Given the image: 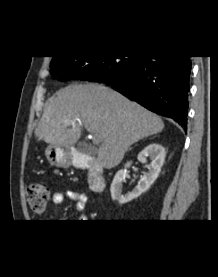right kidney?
Instances as JSON below:
<instances>
[{
  "mask_svg": "<svg viewBox=\"0 0 218 277\" xmlns=\"http://www.w3.org/2000/svg\"><path fill=\"white\" fill-rule=\"evenodd\" d=\"M165 154L164 147L156 143H152L144 148L138 154L137 159L141 163H146L147 158H150L152 162L147 166L148 173L140 179L138 185L131 192L122 195V184L125 181L126 168H129L132 163L131 161L127 162L124 166L125 169L119 170L114 176L110 187L112 199L119 204H125L146 192L157 179L164 163Z\"/></svg>",
  "mask_w": 218,
  "mask_h": 277,
  "instance_id": "1",
  "label": "right kidney"
}]
</instances>
